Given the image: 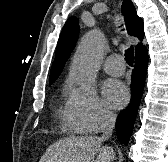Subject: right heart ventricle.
<instances>
[{
    "label": "right heart ventricle",
    "instance_id": "1",
    "mask_svg": "<svg viewBox=\"0 0 168 162\" xmlns=\"http://www.w3.org/2000/svg\"><path fill=\"white\" fill-rule=\"evenodd\" d=\"M63 117H64V120H65V115H63ZM65 122H66V120H65ZM66 124H67V122H66ZM67 125H68V124H67ZM70 127H71V126H70ZM71 129H72L73 131L80 132L79 130H77V129L73 128V127H71Z\"/></svg>",
    "mask_w": 168,
    "mask_h": 162
}]
</instances>
